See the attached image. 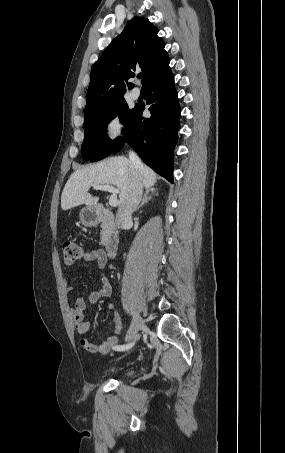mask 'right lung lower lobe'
Instances as JSON below:
<instances>
[{"instance_id":"1","label":"right lung lower lobe","mask_w":285,"mask_h":453,"mask_svg":"<svg viewBox=\"0 0 285 453\" xmlns=\"http://www.w3.org/2000/svg\"><path fill=\"white\" fill-rule=\"evenodd\" d=\"M148 90L150 118H143V105H137L124 140L142 160L159 175L173 182V151L178 132L180 107L170 67L152 76L145 84ZM123 142L114 149H121Z\"/></svg>"}]
</instances>
